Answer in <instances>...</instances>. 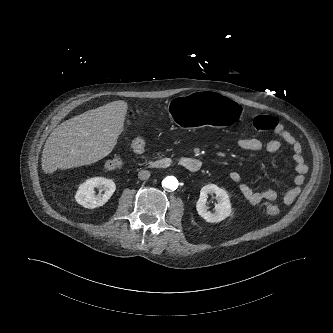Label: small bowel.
Returning a JSON list of instances; mask_svg holds the SVG:
<instances>
[{
	"label": "small bowel",
	"instance_id": "small-bowel-1",
	"mask_svg": "<svg viewBox=\"0 0 333 333\" xmlns=\"http://www.w3.org/2000/svg\"><path fill=\"white\" fill-rule=\"evenodd\" d=\"M273 131L279 136L278 139H272L264 142L255 137H241L237 139L236 145L250 152L276 153L280 150L282 142L286 143L293 151L292 159L297 175L294 178V184L282 192L271 189H254L246 183H241V175L238 171H231L229 179L234 183H239V192L252 205H257L262 201H276L282 199L285 205H290L299 194L300 187L304 181V175L307 172V166L303 160V148L297 138L292 135L283 123L275 119ZM130 152L135 154L146 151V141L142 137L131 140L128 144Z\"/></svg>",
	"mask_w": 333,
	"mask_h": 333
}]
</instances>
